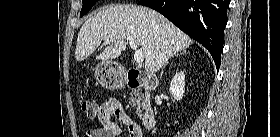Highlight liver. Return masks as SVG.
I'll list each match as a JSON object with an SVG mask.
<instances>
[{
    "label": "liver",
    "mask_w": 280,
    "mask_h": 137,
    "mask_svg": "<svg viewBox=\"0 0 280 137\" xmlns=\"http://www.w3.org/2000/svg\"><path fill=\"white\" fill-rule=\"evenodd\" d=\"M109 39L96 59L112 61L126 50V41H134L145 56V70L154 74L178 51L193 40L160 13L136 5H114L90 17L81 27L75 51L78 62L84 61Z\"/></svg>",
    "instance_id": "obj_1"
}]
</instances>
